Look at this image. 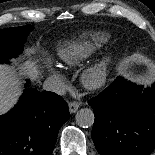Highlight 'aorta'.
Masks as SVG:
<instances>
[{
	"label": "aorta",
	"mask_w": 155,
	"mask_h": 155,
	"mask_svg": "<svg viewBox=\"0 0 155 155\" xmlns=\"http://www.w3.org/2000/svg\"><path fill=\"white\" fill-rule=\"evenodd\" d=\"M75 119L78 126L88 128L94 124L95 116L91 109L82 108L77 111Z\"/></svg>",
	"instance_id": "1"
}]
</instances>
